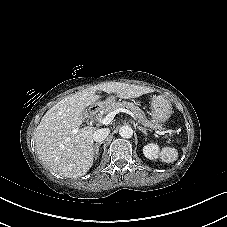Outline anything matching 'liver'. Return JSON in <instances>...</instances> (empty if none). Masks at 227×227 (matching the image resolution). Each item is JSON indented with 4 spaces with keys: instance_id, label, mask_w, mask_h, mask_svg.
<instances>
[{
    "instance_id": "1",
    "label": "liver",
    "mask_w": 227,
    "mask_h": 227,
    "mask_svg": "<svg viewBox=\"0 0 227 227\" xmlns=\"http://www.w3.org/2000/svg\"><path fill=\"white\" fill-rule=\"evenodd\" d=\"M116 93L131 99L152 92L151 89L126 83L109 82L77 92L50 108L35 132V145L42 162L54 173L78 178L93 165V133L96 128H80L85 108L98 100L97 91ZM78 129L77 134L72 131Z\"/></svg>"
}]
</instances>
